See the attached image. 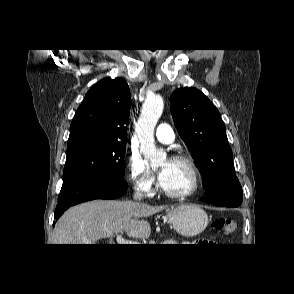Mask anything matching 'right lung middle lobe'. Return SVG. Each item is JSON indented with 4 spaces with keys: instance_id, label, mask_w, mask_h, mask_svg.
Segmentation results:
<instances>
[{
    "instance_id": "right-lung-middle-lobe-1",
    "label": "right lung middle lobe",
    "mask_w": 294,
    "mask_h": 294,
    "mask_svg": "<svg viewBox=\"0 0 294 294\" xmlns=\"http://www.w3.org/2000/svg\"><path fill=\"white\" fill-rule=\"evenodd\" d=\"M126 144L81 141L67 145L63 185L82 179L124 181Z\"/></svg>"
}]
</instances>
